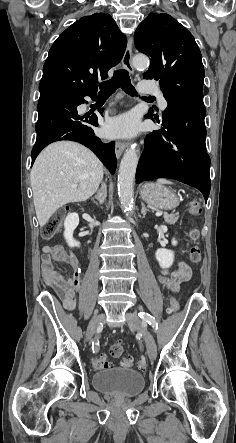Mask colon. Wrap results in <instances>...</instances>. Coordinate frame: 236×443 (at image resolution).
I'll return each instance as SVG.
<instances>
[{"label":"colon","instance_id":"1","mask_svg":"<svg viewBox=\"0 0 236 443\" xmlns=\"http://www.w3.org/2000/svg\"><path fill=\"white\" fill-rule=\"evenodd\" d=\"M188 213L192 216H198L201 212V205L198 200L192 199L188 202L187 206ZM63 220V214L62 213H56L52 217H50L41 227V236L45 240L52 239L55 234L59 231L61 224ZM189 238L193 243H197L200 238V233L197 229H192L189 232ZM190 260L193 263H198L201 260V250L197 245H194L190 249L189 253ZM178 305L177 302L174 299H171V311H177ZM110 353L113 357H120L123 353V344L120 341L115 342L112 344L110 348ZM92 366L95 369H107L110 367V362L107 360V358L104 355H96L92 358ZM134 364V361L132 358H125L121 361V366L125 368H130ZM139 367L141 369H145L147 367V362L145 358H141L139 360Z\"/></svg>","mask_w":236,"mask_h":443}]
</instances>
